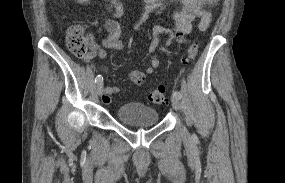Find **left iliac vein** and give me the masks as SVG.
<instances>
[{
	"label": "left iliac vein",
	"instance_id": "left-iliac-vein-1",
	"mask_svg": "<svg viewBox=\"0 0 285 183\" xmlns=\"http://www.w3.org/2000/svg\"><path fill=\"white\" fill-rule=\"evenodd\" d=\"M172 106L175 110H179V108H180L179 98L172 97Z\"/></svg>",
	"mask_w": 285,
	"mask_h": 183
}]
</instances>
